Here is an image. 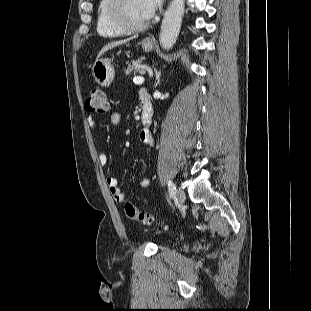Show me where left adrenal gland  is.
<instances>
[{
	"mask_svg": "<svg viewBox=\"0 0 311 311\" xmlns=\"http://www.w3.org/2000/svg\"><path fill=\"white\" fill-rule=\"evenodd\" d=\"M154 73L156 77V83H155V88L159 85L160 83V76H161V71H158L156 68H154Z\"/></svg>",
	"mask_w": 311,
	"mask_h": 311,
	"instance_id": "left-adrenal-gland-1",
	"label": "left adrenal gland"
}]
</instances>
